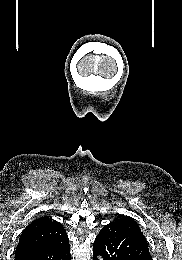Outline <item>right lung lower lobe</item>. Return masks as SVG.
Returning a JSON list of instances; mask_svg holds the SVG:
<instances>
[{"mask_svg": "<svg viewBox=\"0 0 182 260\" xmlns=\"http://www.w3.org/2000/svg\"><path fill=\"white\" fill-rule=\"evenodd\" d=\"M15 260H71L69 240L54 246L16 255Z\"/></svg>", "mask_w": 182, "mask_h": 260, "instance_id": "obj_1", "label": "right lung lower lobe"}]
</instances>
